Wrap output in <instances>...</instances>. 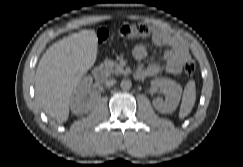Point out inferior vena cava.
<instances>
[{"label": "inferior vena cava", "mask_w": 243, "mask_h": 167, "mask_svg": "<svg viewBox=\"0 0 243 167\" xmlns=\"http://www.w3.org/2000/svg\"><path fill=\"white\" fill-rule=\"evenodd\" d=\"M115 83H116V80H115V79H109V80H106V82H105V86H106V87H111V86H113Z\"/></svg>", "instance_id": "inferior-vena-cava-1"}]
</instances>
